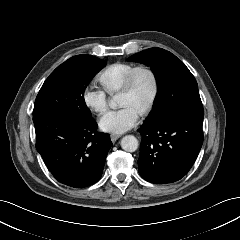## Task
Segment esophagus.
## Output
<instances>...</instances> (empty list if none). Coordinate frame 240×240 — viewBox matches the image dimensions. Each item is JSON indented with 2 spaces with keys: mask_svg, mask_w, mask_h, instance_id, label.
<instances>
[{
  "mask_svg": "<svg viewBox=\"0 0 240 240\" xmlns=\"http://www.w3.org/2000/svg\"><path fill=\"white\" fill-rule=\"evenodd\" d=\"M110 138H111V141L114 143V142H116V140H118L120 138V136L115 135V134H111Z\"/></svg>",
  "mask_w": 240,
  "mask_h": 240,
  "instance_id": "1",
  "label": "esophagus"
}]
</instances>
